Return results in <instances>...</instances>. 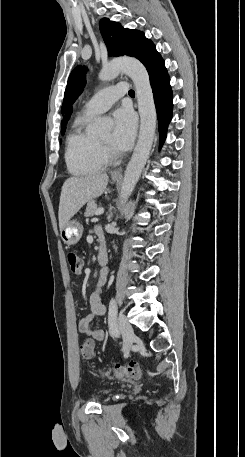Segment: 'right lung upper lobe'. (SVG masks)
<instances>
[{
  "mask_svg": "<svg viewBox=\"0 0 245 457\" xmlns=\"http://www.w3.org/2000/svg\"><path fill=\"white\" fill-rule=\"evenodd\" d=\"M71 113H72V109H71V110L69 111V113H67L66 116L64 117V119H63V125H62V130L65 129V124H66L67 120L69 119Z\"/></svg>",
  "mask_w": 245,
  "mask_h": 457,
  "instance_id": "right-lung-upper-lobe-1",
  "label": "right lung upper lobe"
}]
</instances>
